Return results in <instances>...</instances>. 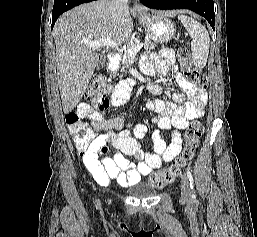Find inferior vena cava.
<instances>
[{
  "mask_svg": "<svg viewBox=\"0 0 257 237\" xmlns=\"http://www.w3.org/2000/svg\"><path fill=\"white\" fill-rule=\"evenodd\" d=\"M115 2L119 7H122V8L128 7V0H115Z\"/></svg>",
  "mask_w": 257,
  "mask_h": 237,
  "instance_id": "inferior-vena-cava-1",
  "label": "inferior vena cava"
}]
</instances>
